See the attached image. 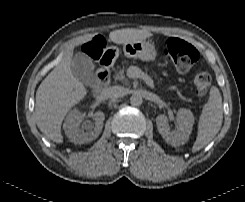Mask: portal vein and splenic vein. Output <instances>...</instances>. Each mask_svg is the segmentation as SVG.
<instances>
[{"mask_svg":"<svg viewBox=\"0 0 245 202\" xmlns=\"http://www.w3.org/2000/svg\"><path fill=\"white\" fill-rule=\"evenodd\" d=\"M128 75L130 78H133V79L142 78L143 80L147 82L148 85H150L153 88L155 87L152 79L136 66H130L128 68Z\"/></svg>","mask_w":245,"mask_h":202,"instance_id":"18ae733b","label":"portal vein and splenic vein"}]
</instances>
